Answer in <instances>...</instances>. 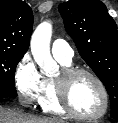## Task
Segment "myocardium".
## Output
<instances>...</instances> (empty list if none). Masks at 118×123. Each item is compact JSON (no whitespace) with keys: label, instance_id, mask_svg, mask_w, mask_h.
Masks as SVG:
<instances>
[{"label":"myocardium","instance_id":"obj_1","mask_svg":"<svg viewBox=\"0 0 118 123\" xmlns=\"http://www.w3.org/2000/svg\"><path fill=\"white\" fill-rule=\"evenodd\" d=\"M81 76L90 77L98 85L102 92L104 102L103 109L97 115H83L79 113L71 103L69 95L71 84L75 79ZM53 83L60 107L65 111V113H68L72 117L84 121H96L102 119L108 113L110 106L109 92L104 82L95 73L82 68L64 67L59 77L53 80Z\"/></svg>","mask_w":118,"mask_h":123}]
</instances>
